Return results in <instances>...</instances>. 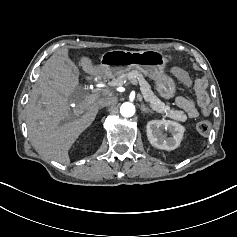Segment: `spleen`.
<instances>
[{
  "instance_id": "obj_1",
  "label": "spleen",
  "mask_w": 237,
  "mask_h": 237,
  "mask_svg": "<svg viewBox=\"0 0 237 237\" xmlns=\"http://www.w3.org/2000/svg\"><path fill=\"white\" fill-rule=\"evenodd\" d=\"M194 154H195V151L192 150V151H190V153L187 155V157L192 156V155H194Z\"/></svg>"
}]
</instances>
